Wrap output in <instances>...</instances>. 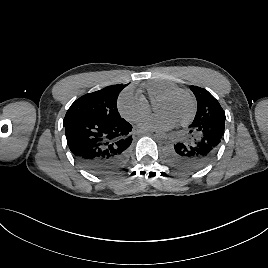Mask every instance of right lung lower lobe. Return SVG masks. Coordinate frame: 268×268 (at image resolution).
I'll return each mask as SVG.
<instances>
[{
    "label": "right lung lower lobe",
    "instance_id": "98d812e1",
    "mask_svg": "<svg viewBox=\"0 0 268 268\" xmlns=\"http://www.w3.org/2000/svg\"><path fill=\"white\" fill-rule=\"evenodd\" d=\"M64 126L73 157L89 172L104 176L118 170L126 161L132 126L125 119L103 121L80 117Z\"/></svg>",
    "mask_w": 268,
    "mask_h": 268
}]
</instances>
